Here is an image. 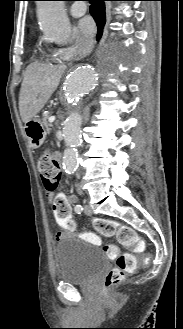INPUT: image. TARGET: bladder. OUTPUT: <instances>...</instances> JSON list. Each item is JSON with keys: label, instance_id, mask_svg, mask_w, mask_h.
<instances>
[{"label": "bladder", "instance_id": "bladder-1", "mask_svg": "<svg viewBox=\"0 0 183 329\" xmlns=\"http://www.w3.org/2000/svg\"><path fill=\"white\" fill-rule=\"evenodd\" d=\"M59 280L87 283L108 268V258L95 245L78 237L65 236L54 246Z\"/></svg>", "mask_w": 183, "mask_h": 329}]
</instances>
